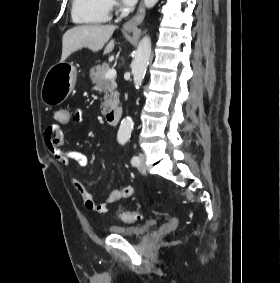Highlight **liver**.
Segmentation results:
<instances>
[{
  "label": "liver",
  "mask_w": 280,
  "mask_h": 283,
  "mask_svg": "<svg viewBox=\"0 0 280 283\" xmlns=\"http://www.w3.org/2000/svg\"><path fill=\"white\" fill-rule=\"evenodd\" d=\"M115 29V25H81L67 30L62 38L60 62L82 48L98 52L109 41ZM114 45L115 41L111 40L104 49V55L110 53Z\"/></svg>",
  "instance_id": "1"
}]
</instances>
